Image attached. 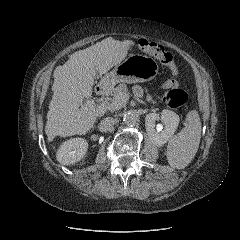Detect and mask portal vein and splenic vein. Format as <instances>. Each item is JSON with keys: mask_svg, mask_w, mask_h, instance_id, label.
<instances>
[{"mask_svg": "<svg viewBox=\"0 0 240 240\" xmlns=\"http://www.w3.org/2000/svg\"><path fill=\"white\" fill-rule=\"evenodd\" d=\"M129 99V95H125V96H120V97H117L116 100H114L111 104H110V107L113 108V107H117L119 105V101H122V100H125V101H128ZM102 106H105V105H102ZM96 107L95 105V102L94 100H88L86 102L85 105H82L81 106V111H86L87 109H94ZM106 107V106H105Z\"/></svg>", "mask_w": 240, "mask_h": 240, "instance_id": "1", "label": "portal vein and splenic vein"}]
</instances>
